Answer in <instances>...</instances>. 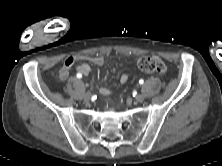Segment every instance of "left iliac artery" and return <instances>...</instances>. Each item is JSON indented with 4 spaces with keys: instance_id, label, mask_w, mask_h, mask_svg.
I'll return each instance as SVG.
<instances>
[{
    "instance_id": "left-iliac-artery-1",
    "label": "left iliac artery",
    "mask_w": 222,
    "mask_h": 166,
    "mask_svg": "<svg viewBox=\"0 0 222 166\" xmlns=\"http://www.w3.org/2000/svg\"><path fill=\"white\" fill-rule=\"evenodd\" d=\"M143 83H144V80L140 79L139 84H143Z\"/></svg>"
}]
</instances>
